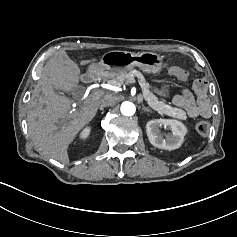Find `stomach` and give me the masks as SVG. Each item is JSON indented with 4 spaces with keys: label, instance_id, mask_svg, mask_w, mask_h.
Here are the masks:
<instances>
[{
    "label": "stomach",
    "instance_id": "obj_1",
    "mask_svg": "<svg viewBox=\"0 0 237 237\" xmlns=\"http://www.w3.org/2000/svg\"><path fill=\"white\" fill-rule=\"evenodd\" d=\"M162 64V56L154 52L132 53L114 50L104 53L100 62L93 67L101 77L113 78L135 66L144 72L156 74L161 71Z\"/></svg>",
    "mask_w": 237,
    "mask_h": 237
}]
</instances>
